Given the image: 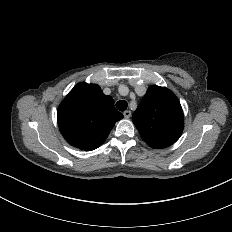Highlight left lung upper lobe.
Listing matches in <instances>:
<instances>
[{
    "label": "left lung upper lobe",
    "instance_id": "obj_1",
    "mask_svg": "<svg viewBox=\"0 0 232 232\" xmlns=\"http://www.w3.org/2000/svg\"><path fill=\"white\" fill-rule=\"evenodd\" d=\"M142 139L152 148L175 143L184 128L181 104L167 88L151 86L132 116Z\"/></svg>",
    "mask_w": 232,
    "mask_h": 232
}]
</instances>
